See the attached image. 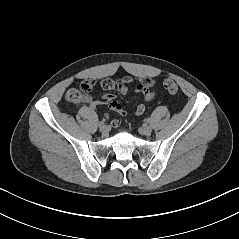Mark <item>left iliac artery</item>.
<instances>
[{
    "label": "left iliac artery",
    "mask_w": 239,
    "mask_h": 239,
    "mask_svg": "<svg viewBox=\"0 0 239 239\" xmlns=\"http://www.w3.org/2000/svg\"><path fill=\"white\" fill-rule=\"evenodd\" d=\"M146 122H147V123H150V118H147V119H146Z\"/></svg>",
    "instance_id": "1"
}]
</instances>
